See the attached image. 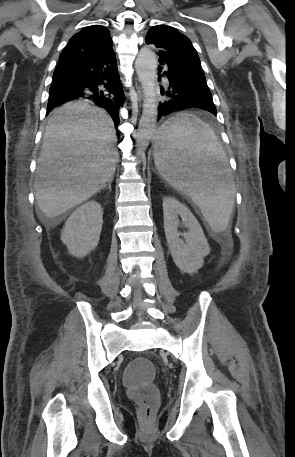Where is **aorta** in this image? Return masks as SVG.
Masks as SVG:
<instances>
[{
    "label": "aorta",
    "instance_id": "aorta-1",
    "mask_svg": "<svg viewBox=\"0 0 295 457\" xmlns=\"http://www.w3.org/2000/svg\"><path fill=\"white\" fill-rule=\"evenodd\" d=\"M135 68L144 92L143 111L136 135L137 156H141L155 135L158 117L157 58L150 47L141 48L135 61Z\"/></svg>",
    "mask_w": 295,
    "mask_h": 457
}]
</instances>
